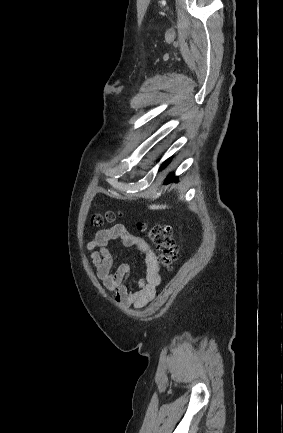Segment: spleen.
Masks as SVG:
<instances>
[{
  "instance_id": "3e777b00",
  "label": "spleen",
  "mask_w": 283,
  "mask_h": 433,
  "mask_svg": "<svg viewBox=\"0 0 283 433\" xmlns=\"http://www.w3.org/2000/svg\"><path fill=\"white\" fill-rule=\"evenodd\" d=\"M150 208H166V204H151Z\"/></svg>"
}]
</instances>
